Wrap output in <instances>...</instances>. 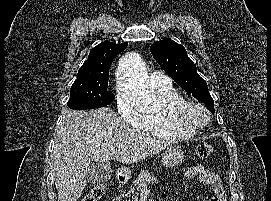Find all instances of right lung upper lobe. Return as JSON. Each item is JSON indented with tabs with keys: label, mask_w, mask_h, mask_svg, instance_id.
<instances>
[{
	"label": "right lung upper lobe",
	"mask_w": 271,
	"mask_h": 201,
	"mask_svg": "<svg viewBox=\"0 0 271 201\" xmlns=\"http://www.w3.org/2000/svg\"><path fill=\"white\" fill-rule=\"evenodd\" d=\"M128 43L116 44L104 41L95 46L89 53L88 59L78 71V77L109 74L112 60L126 49Z\"/></svg>",
	"instance_id": "1"
}]
</instances>
